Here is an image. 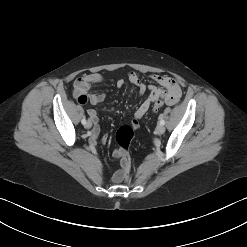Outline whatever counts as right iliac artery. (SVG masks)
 I'll return each instance as SVG.
<instances>
[{
	"label": "right iliac artery",
	"instance_id": "82829eb1",
	"mask_svg": "<svg viewBox=\"0 0 247 247\" xmlns=\"http://www.w3.org/2000/svg\"><path fill=\"white\" fill-rule=\"evenodd\" d=\"M81 122H82L83 125H85L86 124V119L83 118Z\"/></svg>",
	"mask_w": 247,
	"mask_h": 247
}]
</instances>
